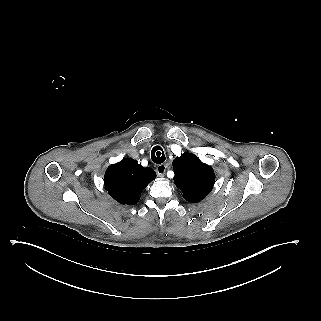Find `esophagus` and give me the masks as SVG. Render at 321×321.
<instances>
[{
  "instance_id": "obj_1",
  "label": "esophagus",
  "mask_w": 321,
  "mask_h": 321,
  "mask_svg": "<svg viewBox=\"0 0 321 321\" xmlns=\"http://www.w3.org/2000/svg\"><path fill=\"white\" fill-rule=\"evenodd\" d=\"M166 168H167L166 164L158 165L157 168H156L157 174L160 177H163L165 175Z\"/></svg>"
}]
</instances>
